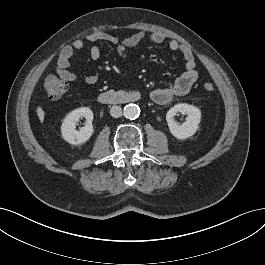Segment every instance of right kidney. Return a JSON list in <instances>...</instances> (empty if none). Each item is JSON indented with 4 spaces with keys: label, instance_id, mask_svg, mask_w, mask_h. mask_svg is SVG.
Returning <instances> with one entry per match:
<instances>
[{
    "label": "right kidney",
    "instance_id": "ca27d5eb",
    "mask_svg": "<svg viewBox=\"0 0 265 265\" xmlns=\"http://www.w3.org/2000/svg\"><path fill=\"white\" fill-rule=\"evenodd\" d=\"M86 118L87 122L79 131L76 130V122L80 118ZM93 112L88 107H81L70 112L63 120L61 133L63 139L73 145L85 143L93 134Z\"/></svg>",
    "mask_w": 265,
    "mask_h": 265
}]
</instances>
